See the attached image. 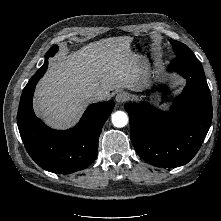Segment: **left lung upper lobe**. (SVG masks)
Instances as JSON below:
<instances>
[{"mask_svg":"<svg viewBox=\"0 0 221 221\" xmlns=\"http://www.w3.org/2000/svg\"><path fill=\"white\" fill-rule=\"evenodd\" d=\"M171 44L173 45V50L176 53L177 57L194 55L192 53V51L186 45H184L183 43L171 40Z\"/></svg>","mask_w":221,"mask_h":221,"instance_id":"1","label":"left lung upper lobe"}]
</instances>
